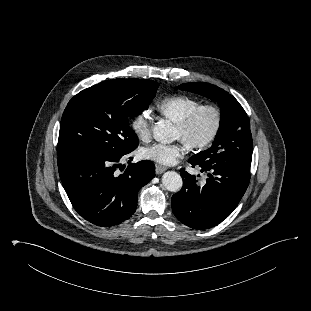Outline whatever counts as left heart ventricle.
<instances>
[{
	"label": "left heart ventricle",
	"instance_id": "b2bd125f",
	"mask_svg": "<svg viewBox=\"0 0 311 311\" xmlns=\"http://www.w3.org/2000/svg\"><path fill=\"white\" fill-rule=\"evenodd\" d=\"M213 123V114L210 112H205L198 118L188 135L184 136L181 131L176 128L175 138L181 141L187 140L192 142H199L208 136L213 127Z\"/></svg>",
	"mask_w": 311,
	"mask_h": 311
}]
</instances>
